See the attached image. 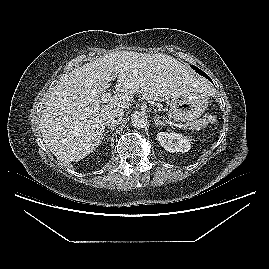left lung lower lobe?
I'll return each mask as SVG.
<instances>
[{"label":"left lung lower lobe","instance_id":"obj_1","mask_svg":"<svg viewBox=\"0 0 269 269\" xmlns=\"http://www.w3.org/2000/svg\"><path fill=\"white\" fill-rule=\"evenodd\" d=\"M197 73H199L200 75L204 76L206 79L210 80L212 82V80L210 79V77H208L207 74H205L202 70L198 69L197 67H193Z\"/></svg>","mask_w":269,"mask_h":269}]
</instances>
